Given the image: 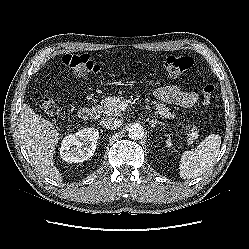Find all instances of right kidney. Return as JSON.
I'll return each instance as SVG.
<instances>
[{"instance_id":"ca27d5eb","label":"right kidney","mask_w":249,"mask_h":249,"mask_svg":"<svg viewBox=\"0 0 249 249\" xmlns=\"http://www.w3.org/2000/svg\"><path fill=\"white\" fill-rule=\"evenodd\" d=\"M99 132L95 128H84L67 135L61 142L60 156L68 163H80L91 158L97 147Z\"/></svg>"}]
</instances>
